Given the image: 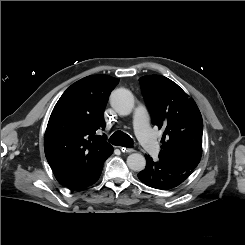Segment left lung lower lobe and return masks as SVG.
<instances>
[{
    "mask_svg": "<svg viewBox=\"0 0 245 245\" xmlns=\"http://www.w3.org/2000/svg\"><path fill=\"white\" fill-rule=\"evenodd\" d=\"M146 167L138 174L139 180L145 185L158 189L170 190L182 184L191 174L188 171L160 159L154 161L145 155Z\"/></svg>",
    "mask_w": 245,
    "mask_h": 245,
    "instance_id": "obj_1",
    "label": "left lung lower lobe"
}]
</instances>
